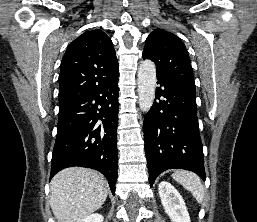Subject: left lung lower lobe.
<instances>
[{"mask_svg":"<svg viewBox=\"0 0 257 222\" xmlns=\"http://www.w3.org/2000/svg\"><path fill=\"white\" fill-rule=\"evenodd\" d=\"M156 99L144 118L149 181L167 169L195 172L206 179L195 91L157 74Z\"/></svg>","mask_w":257,"mask_h":222,"instance_id":"0a47b994","label":"left lung lower lobe"}]
</instances>
